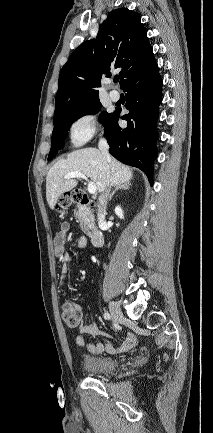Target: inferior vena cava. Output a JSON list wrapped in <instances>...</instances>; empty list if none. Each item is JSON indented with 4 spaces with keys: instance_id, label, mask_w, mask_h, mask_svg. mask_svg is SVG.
I'll list each match as a JSON object with an SVG mask.
<instances>
[{
    "instance_id": "602c4592",
    "label": "inferior vena cava",
    "mask_w": 213,
    "mask_h": 433,
    "mask_svg": "<svg viewBox=\"0 0 213 433\" xmlns=\"http://www.w3.org/2000/svg\"><path fill=\"white\" fill-rule=\"evenodd\" d=\"M98 147L102 153V155L107 159L110 160V154H109V145L104 138H100ZM110 192V187L108 186L105 191L99 196V205H98V221L101 223L105 219L106 215V205L108 201V195Z\"/></svg>"
}]
</instances>
